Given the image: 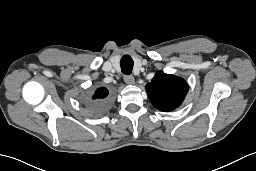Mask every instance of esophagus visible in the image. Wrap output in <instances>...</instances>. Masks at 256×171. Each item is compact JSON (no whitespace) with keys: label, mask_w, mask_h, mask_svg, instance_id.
<instances>
[{"label":"esophagus","mask_w":256,"mask_h":171,"mask_svg":"<svg viewBox=\"0 0 256 171\" xmlns=\"http://www.w3.org/2000/svg\"><path fill=\"white\" fill-rule=\"evenodd\" d=\"M124 81L127 84L133 85L135 83V78L132 75H126L124 76Z\"/></svg>","instance_id":"esophagus-1"}]
</instances>
